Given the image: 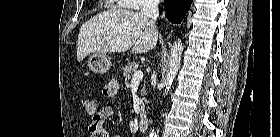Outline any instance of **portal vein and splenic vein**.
I'll list each match as a JSON object with an SVG mask.
<instances>
[{"label": "portal vein and splenic vein", "mask_w": 280, "mask_h": 137, "mask_svg": "<svg viewBox=\"0 0 280 137\" xmlns=\"http://www.w3.org/2000/svg\"><path fill=\"white\" fill-rule=\"evenodd\" d=\"M142 79H143V72L141 70L140 71H136L133 74L132 83L139 82Z\"/></svg>", "instance_id": "portal-vein-and-splenic-vein-1"}]
</instances>
